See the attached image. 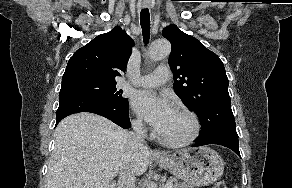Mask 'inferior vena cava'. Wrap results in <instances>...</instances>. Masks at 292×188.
Here are the masks:
<instances>
[{"label":"inferior vena cava","mask_w":292,"mask_h":188,"mask_svg":"<svg viewBox=\"0 0 292 188\" xmlns=\"http://www.w3.org/2000/svg\"><path fill=\"white\" fill-rule=\"evenodd\" d=\"M133 131L127 134V142L131 149L144 147V139L147 135L142 121L137 120L132 122ZM135 174L129 167L122 168L119 173L117 188H136Z\"/></svg>","instance_id":"1"}]
</instances>
